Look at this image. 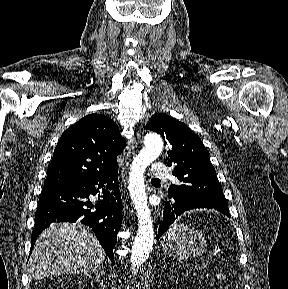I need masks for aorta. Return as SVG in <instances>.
<instances>
[{"instance_id":"762f6f07","label":"aorta","mask_w":288,"mask_h":289,"mask_svg":"<svg viewBox=\"0 0 288 289\" xmlns=\"http://www.w3.org/2000/svg\"><path fill=\"white\" fill-rule=\"evenodd\" d=\"M163 142L157 135H149L143 148L134 158L129 174L128 190L138 217V230L131 249V265L138 268L146 261L154 242V227L147 205L144 173L161 154Z\"/></svg>"}]
</instances>
